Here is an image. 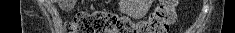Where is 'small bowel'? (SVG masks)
<instances>
[{
    "label": "small bowel",
    "instance_id": "small-bowel-1",
    "mask_svg": "<svg viewBox=\"0 0 235 33\" xmlns=\"http://www.w3.org/2000/svg\"><path fill=\"white\" fill-rule=\"evenodd\" d=\"M151 1L149 0H139L135 1L133 6L124 5L123 8L125 10H132L135 14H142L148 10Z\"/></svg>",
    "mask_w": 235,
    "mask_h": 33
}]
</instances>
